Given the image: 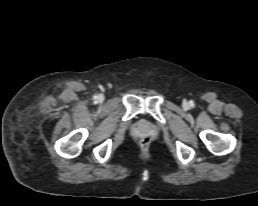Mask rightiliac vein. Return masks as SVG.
<instances>
[{
  "label": "right iliac vein",
  "instance_id": "obj_1",
  "mask_svg": "<svg viewBox=\"0 0 258 206\" xmlns=\"http://www.w3.org/2000/svg\"><path fill=\"white\" fill-rule=\"evenodd\" d=\"M103 100H104V97H103L102 95H99V96H98V101H99V102H102Z\"/></svg>",
  "mask_w": 258,
  "mask_h": 206
}]
</instances>
